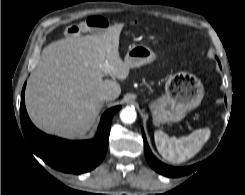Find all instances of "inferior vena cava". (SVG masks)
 Segmentation results:
<instances>
[{"mask_svg":"<svg viewBox=\"0 0 245 195\" xmlns=\"http://www.w3.org/2000/svg\"><path fill=\"white\" fill-rule=\"evenodd\" d=\"M112 96L110 94H103L100 97V100L104 101V100H111Z\"/></svg>","mask_w":245,"mask_h":195,"instance_id":"obj_1","label":"inferior vena cava"}]
</instances>
